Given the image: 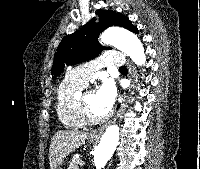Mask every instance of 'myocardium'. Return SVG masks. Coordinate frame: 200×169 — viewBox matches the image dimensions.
Listing matches in <instances>:
<instances>
[{"mask_svg":"<svg viewBox=\"0 0 200 169\" xmlns=\"http://www.w3.org/2000/svg\"><path fill=\"white\" fill-rule=\"evenodd\" d=\"M91 91H94V89H87L83 93L82 97L79 100V105H80L81 114H82V117H83V120H84L85 124L97 125V124H101V123L105 122L109 118L110 112L105 114L103 117H100V118H96V117L93 116V114L90 111V109H89V107L87 105V102L85 100V95L88 92H91Z\"/></svg>","mask_w":200,"mask_h":169,"instance_id":"1","label":"myocardium"}]
</instances>
